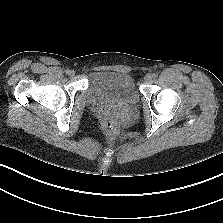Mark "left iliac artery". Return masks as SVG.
<instances>
[{"label":"left iliac artery","instance_id":"obj_1","mask_svg":"<svg viewBox=\"0 0 223 223\" xmlns=\"http://www.w3.org/2000/svg\"><path fill=\"white\" fill-rule=\"evenodd\" d=\"M153 78H156L158 76V73H153Z\"/></svg>","mask_w":223,"mask_h":223}]
</instances>
